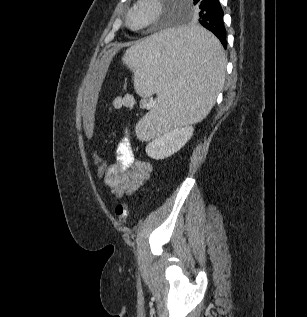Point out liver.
<instances>
[{"mask_svg":"<svg viewBox=\"0 0 307 317\" xmlns=\"http://www.w3.org/2000/svg\"><path fill=\"white\" fill-rule=\"evenodd\" d=\"M118 54L117 48H107L104 55L99 56L98 63L94 64V71L90 74L88 82L85 84L84 101L79 102V107L82 108V127L84 135L87 136V141H92L93 125L95 119V108L100 99V91L104 84L108 70L114 62V55Z\"/></svg>","mask_w":307,"mask_h":317,"instance_id":"obj_1","label":"liver"}]
</instances>
